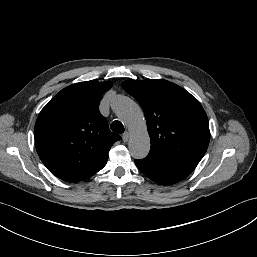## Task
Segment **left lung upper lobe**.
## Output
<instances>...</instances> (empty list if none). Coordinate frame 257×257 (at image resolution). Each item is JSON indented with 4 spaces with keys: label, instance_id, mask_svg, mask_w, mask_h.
I'll use <instances>...</instances> for the list:
<instances>
[{
    "label": "left lung upper lobe",
    "instance_id": "obj_1",
    "mask_svg": "<svg viewBox=\"0 0 257 257\" xmlns=\"http://www.w3.org/2000/svg\"><path fill=\"white\" fill-rule=\"evenodd\" d=\"M122 87L141 105L151 140L146 159L199 162L210 141L207 115L189 92L161 79L127 80Z\"/></svg>",
    "mask_w": 257,
    "mask_h": 257
}]
</instances>
